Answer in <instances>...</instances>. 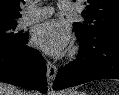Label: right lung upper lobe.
I'll use <instances>...</instances> for the list:
<instances>
[{
  "mask_svg": "<svg viewBox=\"0 0 119 95\" xmlns=\"http://www.w3.org/2000/svg\"><path fill=\"white\" fill-rule=\"evenodd\" d=\"M23 0H0V26L17 24V19L21 17L19 11Z\"/></svg>",
  "mask_w": 119,
  "mask_h": 95,
  "instance_id": "1",
  "label": "right lung upper lobe"
}]
</instances>
